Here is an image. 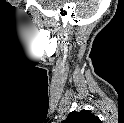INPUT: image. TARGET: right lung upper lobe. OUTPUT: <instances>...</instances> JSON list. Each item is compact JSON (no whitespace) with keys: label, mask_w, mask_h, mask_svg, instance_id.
I'll return each mask as SVG.
<instances>
[{"label":"right lung upper lobe","mask_w":124,"mask_h":123,"mask_svg":"<svg viewBox=\"0 0 124 123\" xmlns=\"http://www.w3.org/2000/svg\"><path fill=\"white\" fill-rule=\"evenodd\" d=\"M99 119L92 112L88 110H81L80 112L73 111L69 113L63 123H98Z\"/></svg>","instance_id":"obj_1"}]
</instances>
